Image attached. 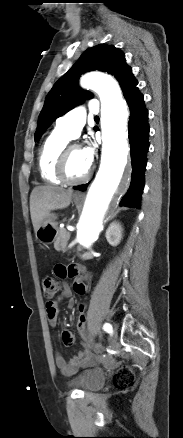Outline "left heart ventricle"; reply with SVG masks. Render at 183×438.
Instances as JSON below:
<instances>
[{
    "label": "left heart ventricle",
    "instance_id": "left-heart-ventricle-1",
    "mask_svg": "<svg viewBox=\"0 0 183 438\" xmlns=\"http://www.w3.org/2000/svg\"><path fill=\"white\" fill-rule=\"evenodd\" d=\"M90 164L86 161L80 148L73 149L67 160L66 173L70 179L82 178L89 169Z\"/></svg>",
    "mask_w": 183,
    "mask_h": 438
}]
</instances>
